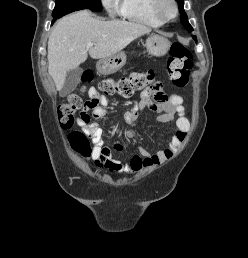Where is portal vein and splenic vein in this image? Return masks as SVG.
I'll return each mask as SVG.
<instances>
[{
    "label": "portal vein and splenic vein",
    "instance_id": "18ae733b",
    "mask_svg": "<svg viewBox=\"0 0 248 258\" xmlns=\"http://www.w3.org/2000/svg\"><path fill=\"white\" fill-rule=\"evenodd\" d=\"M93 46H94V43H88V44L86 45L87 48H91V47H93Z\"/></svg>",
    "mask_w": 248,
    "mask_h": 258
}]
</instances>
